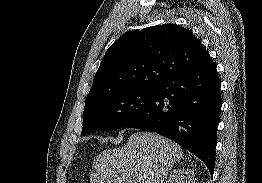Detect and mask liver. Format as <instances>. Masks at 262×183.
<instances>
[{"label": "liver", "mask_w": 262, "mask_h": 183, "mask_svg": "<svg viewBox=\"0 0 262 183\" xmlns=\"http://www.w3.org/2000/svg\"><path fill=\"white\" fill-rule=\"evenodd\" d=\"M183 158L179 145L156 133L132 134L122 148L100 153L90 183H163Z\"/></svg>", "instance_id": "liver-1"}]
</instances>
